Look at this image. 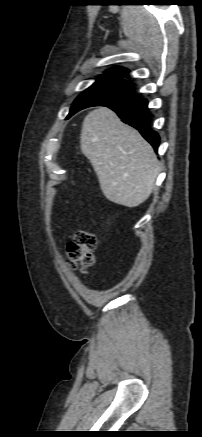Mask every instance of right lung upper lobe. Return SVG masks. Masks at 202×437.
<instances>
[{"instance_id": "cb5924a9", "label": "right lung upper lobe", "mask_w": 202, "mask_h": 437, "mask_svg": "<svg viewBox=\"0 0 202 437\" xmlns=\"http://www.w3.org/2000/svg\"><path fill=\"white\" fill-rule=\"evenodd\" d=\"M106 72H111V73H115V74H119V75L128 77V70L125 68H122V67H114V68L107 70Z\"/></svg>"}]
</instances>
